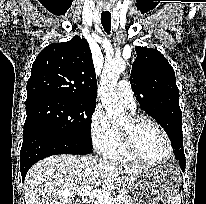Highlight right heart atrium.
Wrapping results in <instances>:
<instances>
[{
	"label": "right heart atrium",
	"mask_w": 206,
	"mask_h": 204,
	"mask_svg": "<svg viewBox=\"0 0 206 204\" xmlns=\"http://www.w3.org/2000/svg\"><path fill=\"white\" fill-rule=\"evenodd\" d=\"M90 136L97 152L108 146L113 137V124L102 107L97 106L90 118Z\"/></svg>",
	"instance_id": "d8ad5b80"
}]
</instances>
